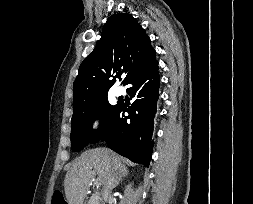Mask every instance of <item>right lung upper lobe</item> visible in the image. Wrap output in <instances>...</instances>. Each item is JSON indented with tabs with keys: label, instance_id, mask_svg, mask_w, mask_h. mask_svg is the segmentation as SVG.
Returning <instances> with one entry per match:
<instances>
[{
	"label": "right lung upper lobe",
	"instance_id": "1",
	"mask_svg": "<svg viewBox=\"0 0 253 204\" xmlns=\"http://www.w3.org/2000/svg\"><path fill=\"white\" fill-rule=\"evenodd\" d=\"M152 50L150 38L131 14L112 15L103 27L99 43L79 67L73 109L107 95L121 72L125 84Z\"/></svg>",
	"mask_w": 253,
	"mask_h": 204
}]
</instances>
